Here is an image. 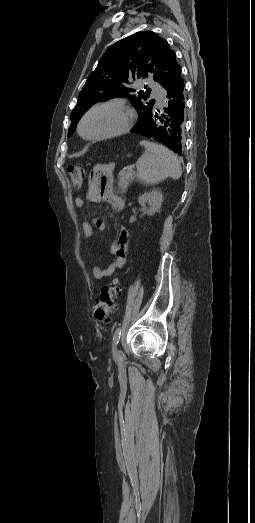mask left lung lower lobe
I'll return each mask as SVG.
<instances>
[{
  "label": "left lung lower lobe",
  "instance_id": "left-lung-lower-lobe-1",
  "mask_svg": "<svg viewBox=\"0 0 255 523\" xmlns=\"http://www.w3.org/2000/svg\"><path fill=\"white\" fill-rule=\"evenodd\" d=\"M177 81V85L169 86L165 90V102L162 107L155 111L151 110L147 123H144L143 127L135 128L134 131H136V135L142 134V137H155L159 145L170 147L172 151L181 153L183 152L182 135L185 116L183 112L186 100H183L185 82L180 78H177Z\"/></svg>",
  "mask_w": 255,
  "mask_h": 523
}]
</instances>
